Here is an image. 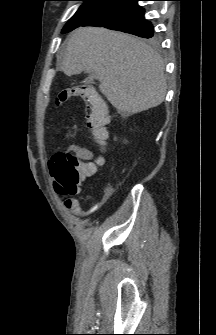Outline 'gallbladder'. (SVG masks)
<instances>
[{
  "label": "gallbladder",
  "mask_w": 216,
  "mask_h": 335,
  "mask_svg": "<svg viewBox=\"0 0 216 335\" xmlns=\"http://www.w3.org/2000/svg\"><path fill=\"white\" fill-rule=\"evenodd\" d=\"M91 78H96L95 74L93 73L89 74L88 79H91Z\"/></svg>",
  "instance_id": "1"
}]
</instances>
